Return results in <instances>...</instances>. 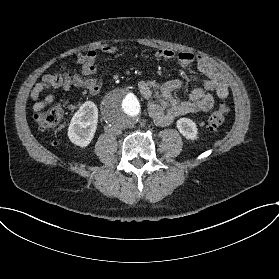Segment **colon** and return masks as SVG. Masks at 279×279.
Segmentation results:
<instances>
[{
	"label": "colon",
	"instance_id": "colon-1",
	"mask_svg": "<svg viewBox=\"0 0 279 279\" xmlns=\"http://www.w3.org/2000/svg\"><path fill=\"white\" fill-rule=\"evenodd\" d=\"M61 71L65 72L67 75H72L75 70L68 66L60 67ZM230 105L221 101L217 110L210 114L207 118L206 127L209 130H215L223 123L226 115L228 114ZM61 116V110L56 107H49L45 110L39 111L35 114V121L37 122L39 128L46 132H53L59 122Z\"/></svg>",
	"mask_w": 279,
	"mask_h": 279
}]
</instances>
